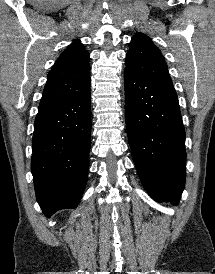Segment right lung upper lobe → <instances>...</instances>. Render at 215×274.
I'll return each mask as SVG.
<instances>
[{"label":"right lung upper lobe","instance_id":"1","mask_svg":"<svg viewBox=\"0 0 215 274\" xmlns=\"http://www.w3.org/2000/svg\"><path fill=\"white\" fill-rule=\"evenodd\" d=\"M90 55L74 40L59 56L47 77L39 110L53 107L78 94L90 84Z\"/></svg>","mask_w":215,"mask_h":274}]
</instances>
